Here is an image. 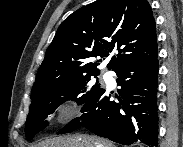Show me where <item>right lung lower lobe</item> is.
<instances>
[{
  "label": "right lung lower lobe",
  "mask_w": 183,
  "mask_h": 147,
  "mask_svg": "<svg viewBox=\"0 0 183 147\" xmlns=\"http://www.w3.org/2000/svg\"><path fill=\"white\" fill-rule=\"evenodd\" d=\"M157 56L132 60L116 69L117 84L121 86L119 102L110 100L105 89H99L83 104L82 116L70 121L57 134L84 127L123 145L141 141L157 146Z\"/></svg>",
  "instance_id": "98d812e1"
}]
</instances>
